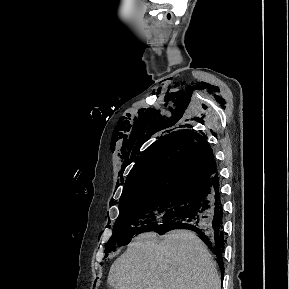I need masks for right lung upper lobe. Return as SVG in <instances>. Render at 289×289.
I'll return each mask as SVG.
<instances>
[{"label":"right lung upper lobe","mask_w":289,"mask_h":289,"mask_svg":"<svg viewBox=\"0 0 289 289\" xmlns=\"http://www.w3.org/2000/svg\"><path fill=\"white\" fill-rule=\"evenodd\" d=\"M217 181L213 151L206 139L193 131L179 130L142 154L127 176L120 202L172 191L198 194Z\"/></svg>","instance_id":"right-lung-upper-lobe-1"}]
</instances>
